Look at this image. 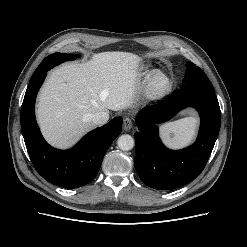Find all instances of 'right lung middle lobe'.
<instances>
[{"label": "right lung middle lobe", "mask_w": 247, "mask_h": 247, "mask_svg": "<svg viewBox=\"0 0 247 247\" xmlns=\"http://www.w3.org/2000/svg\"><path fill=\"white\" fill-rule=\"evenodd\" d=\"M77 57H80V55L77 54H63V53H54L46 57L40 65L35 70L32 77L37 76L41 73L42 70H50L54 66H57L65 61L69 60H75Z\"/></svg>", "instance_id": "obj_1"}]
</instances>
